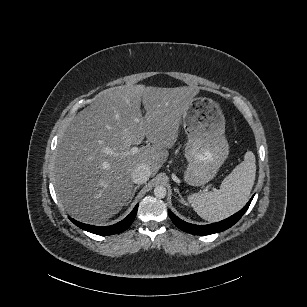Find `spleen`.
<instances>
[{
	"label": "spleen",
	"mask_w": 307,
	"mask_h": 307,
	"mask_svg": "<svg viewBox=\"0 0 307 307\" xmlns=\"http://www.w3.org/2000/svg\"><path fill=\"white\" fill-rule=\"evenodd\" d=\"M256 176V157L246 151L243 162L221 183L216 192L193 194L188 200L205 220L218 222L238 212L248 201Z\"/></svg>",
	"instance_id": "spleen-1"
}]
</instances>
